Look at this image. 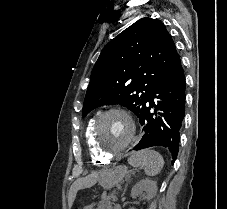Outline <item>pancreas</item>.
<instances>
[{
	"instance_id": "1",
	"label": "pancreas",
	"mask_w": 227,
	"mask_h": 209,
	"mask_svg": "<svg viewBox=\"0 0 227 209\" xmlns=\"http://www.w3.org/2000/svg\"><path fill=\"white\" fill-rule=\"evenodd\" d=\"M108 199H110V197H108ZM114 205L111 203H102L101 207H99L98 209H112L111 207H113Z\"/></svg>"
}]
</instances>
